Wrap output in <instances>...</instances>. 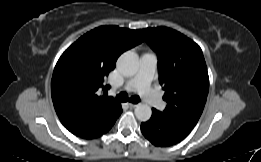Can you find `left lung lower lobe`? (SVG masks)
<instances>
[{"instance_id":"1","label":"left lung lower lobe","mask_w":261,"mask_h":162,"mask_svg":"<svg viewBox=\"0 0 261 162\" xmlns=\"http://www.w3.org/2000/svg\"><path fill=\"white\" fill-rule=\"evenodd\" d=\"M190 126L152 109V116L141 124V131L153 145L167 147L182 141L192 130Z\"/></svg>"}]
</instances>
